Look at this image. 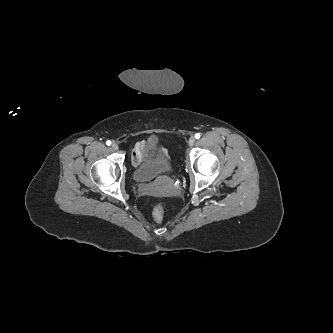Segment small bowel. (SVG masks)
Instances as JSON below:
<instances>
[{
    "mask_svg": "<svg viewBox=\"0 0 333 333\" xmlns=\"http://www.w3.org/2000/svg\"><path fill=\"white\" fill-rule=\"evenodd\" d=\"M149 155V150L144 141L138 142L132 152H131V161L132 164L137 166L143 162Z\"/></svg>",
    "mask_w": 333,
    "mask_h": 333,
    "instance_id": "small-bowel-1",
    "label": "small bowel"
}]
</instances>
